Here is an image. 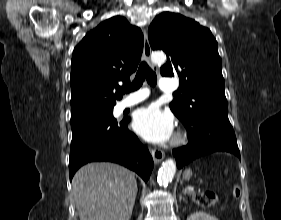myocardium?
I'll return each mask as SVG.
<instances>
[{
    "instance_id": "myocardium-1",
    "label": "myocardium",
    "mask_w": 281,
    "mask_h": 220,
    "mask_svg": "<svg viewBox=\"0 0 281 220\" xmlns=\"http://www.w3.org/2000/svg\"><path fill=\"white\" fill-rule=\"evenodd\" d=\"M186 138L187 137H186V134L184 132L178 131L175 134V136H174V138L172 140V144L173 145H181V144H183L186 141Z\"/></svg>"
}]
</instances>
